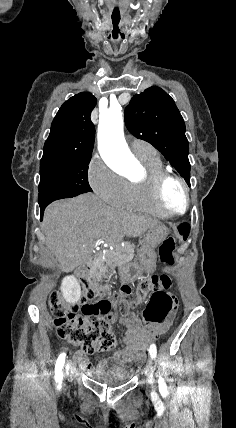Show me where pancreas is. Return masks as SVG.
I'll return each instance as SVG.
<instances>
[{"label":"pancreas","mask_w":236,"mask_h":428,"mask_svg":"<svg viewBox=\"0 0 236 428\" xmlns=\"http://www.w3.org/2000/svg\"><path fill=\"white\" fill-rule=\"evenodd\" d=\"M113 248L114 250L110 252L109 256H106L105 260L98 258L96 266L99 278H107L106 272H108L109 268L126 264V262H131L134 258L135 246L130 242H125L124 246L114 244Z\"/></svg>","instance_id":"cf45deb5"}]
</instances>
